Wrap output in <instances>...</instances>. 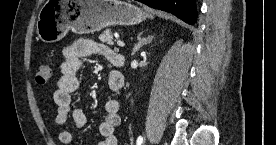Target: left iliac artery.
I'll return each mask as SVG.
<instances>
[{
    "label": "left iliac artery",
    "instance_id": "left-iliac-artery-1",
    "mask_svg": "<svg viewBox=\"0 0 276 145\" xmlns=\"http://www.w3.org/2000/svg\"><path fill=\"white\" fill-rule=\"evenodd\" d=\"M142 143H143V137H142V136H139V137L137 138L136 144H137V145H141Z\"/></svg>",
    "mask_w": 276,
    "mask_h": 145
}]
</instances>
